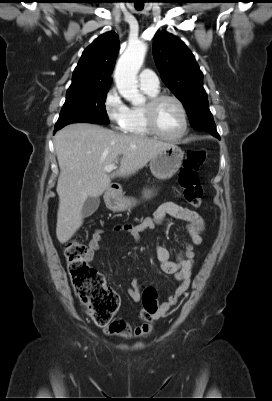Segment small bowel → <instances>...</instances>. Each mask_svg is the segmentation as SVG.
Instances as JSON below:
<instances>
[{"label":"small bowel","mask_w":272,"mask_h":401,"mask_svg":"<svg viewBox=\"0 0 272 401\" xmlns=\"http://www.w3.org/2000/svg\"><path fill=\"white\" fill-rule=\"evenodd\" d=\"M167 217L181 220L185 223L188 241L175 260L170 259L169 250L163 245L156 246V256L163 272L172 274L179 281V286L167 300L162 302L154 313L141 311L139 319L141 323L135 327L128 325L122 319H115L107 332L122 338H137L148 335L152 330V322L164 317L182 298L190 284V275L194 266L196 252L195 246H199L203 240L205 229L202 217L184 204L165 202L155 211L153 218L145 219L136 225H119L115 231L122 232L131 237L134 242H139L142 232L153 229L161 224ZM103 231L97 229L93 232L88 244L85 260L91 262L95 253L100 249ZM128 295L134 302L141 300V288L137 280L131 281Z\"/></svg>","instance_id":"obj_1"}]
</instances>
